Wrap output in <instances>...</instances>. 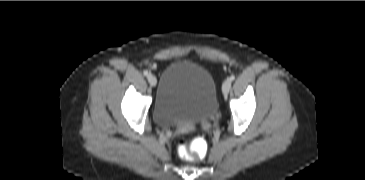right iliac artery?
<instances>
[{
    "label": "right iliac artery",
    "mask_w": 365,
    "mask_h": 180,
    "mask_svg": "<svg viewBox=\"0 0 365 180\" xmlns=\"http://www.w3.org/2000/svg\"><path fill=\"white\" fill-rule=\"evenodd\" d=\"M143 74H144L145 76H149V74H150V73H149L147 70H144V71H143Z\"/></svg>",
    "instance_id": "82829eb1"
}]
</instances>
